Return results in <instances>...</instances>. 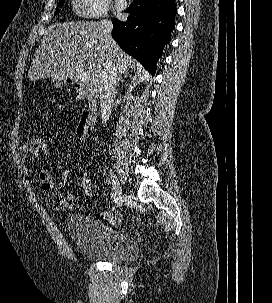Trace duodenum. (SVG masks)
<instances>
[{
  "mask_svg": "<svg viewBox=\"0 0 272 303\" xmlns=\"http://www.w3.org/2000/svg\"><path fill=\"white\" fill-rule=\"evenodd\" d=\"M68 83L73 85L77 90V100H81L84 95L83 86L74 78H69ZM96 104L93 101L87 102L82 110L80 121L77 127V138L80 141H85L89 132V127L94 119Z\"/></svg>",
  "mask_w": 272,
  "mask_h": 303,
  "instance_id": "duodenum-1",
  "label": "duodenum"
}]
</instances>
